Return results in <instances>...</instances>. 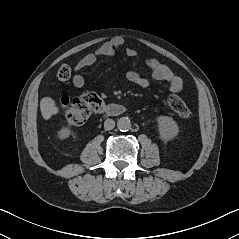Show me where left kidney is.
<instances>
[{
    "instance_id": "left-kidney-1",
    "label": "left kidney",
    "mask_w": 239,
    "mask_h": 239,
    "mask_svg": "<svg viewBox=\"0 0 239 239\" xmlns=\"http://www.w3.org/2000/svg\"><path fill=\"white\" fill-rule=\"evenodd\" d=\"M158 131L160 139L169 141L174 139L179 132V127L173 118L168 116L157 117Z\"/></svg>"
}]
</instances>
